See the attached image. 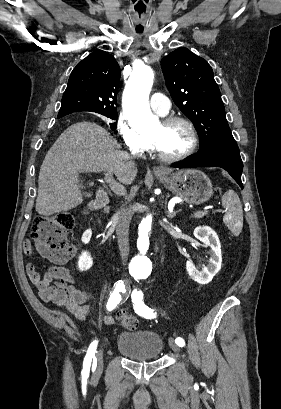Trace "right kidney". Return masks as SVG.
Returning a JSON list of instances; mask_svg holds the SVG:
<instances>
[{
  "mask_svg": "<svg viewBox=\"0 0 281 409\" xmlns=\"http://www.w3.org/2000/svg\"><path fill=\"white\" fill-rule=\"evenodd\" d=\"M91 237H92V231L91 229H87V231H84L82 235V239H81L82 243H85V245H87ZM92 265H93V261H92V257L90 253H87V251H83V253H81L78 259V269H80V271H88V269H91Z\"/></svg>",
  "mask_w": 281,
  "mask_h": 409,
  "instance_id": "right-kidney-1",
  "label": "right kidney"
}]
</instances>
